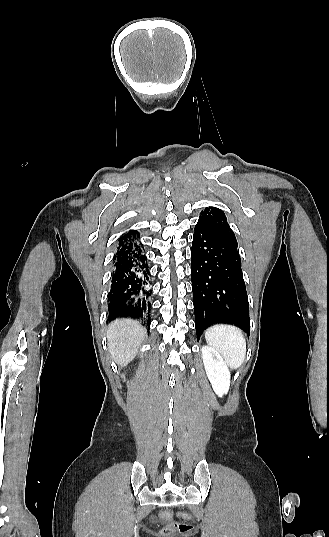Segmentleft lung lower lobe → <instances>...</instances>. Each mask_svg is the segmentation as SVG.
Returning a JSON list of instances; mask_svg holds the SVG:
<instances>
[{
  "instance_id": "left-lung-lower-lobe-1",
  "label": "left lung lower lobe",
  "mask_w": 329,
  "mask_h": 537,
  "mask_svg": "<svg viewBox=\"0 0 329 537\" xmlns=\"http://www.w3.org/2000/svg\"><path fill=\"white\" fill-rule=\"evenodd\" d=\"M237 247L203 223L196 224L191 277L197 339L219 323L238 326L249 335V303Z\"/></svg>"
}]
</instances>
